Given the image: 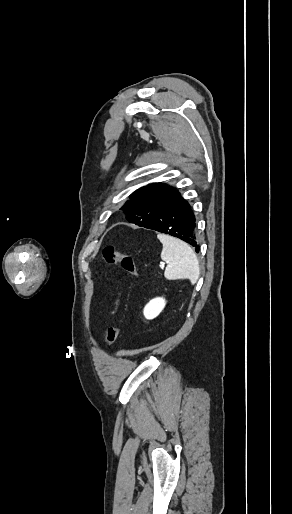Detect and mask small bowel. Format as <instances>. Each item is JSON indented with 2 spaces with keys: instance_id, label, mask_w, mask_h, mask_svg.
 Returning a JSON list of instances; mask_svg holds the SVG:
<instances>
[{
  "instance_id": "small-bowel-1",
  "label": "small bowel",
  "mask_w": 292,
  "mask_h": 514,
  "mask_svg": "<svg viewBox=\"0 0 292 514\" xmlns=\"http://www.w3.org/2000/svg\"><path fill=\"white\" fill-rule=\"evenodd\" d=\"M118 306H119V300L117 299L114 303V306L112 307L111 309V314L114 315L117 313V310H118Z\"/></svg>"
}]
</instances>
